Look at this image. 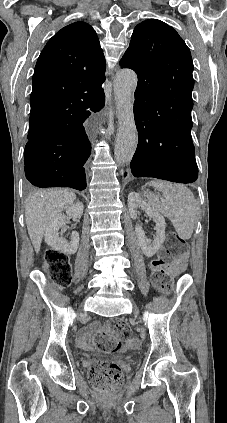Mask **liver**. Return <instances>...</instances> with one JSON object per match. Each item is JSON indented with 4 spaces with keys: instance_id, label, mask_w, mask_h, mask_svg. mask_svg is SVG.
Listing matches in <instances>:
<instances>
[{
    "instance_id": "1",
    "label": "liver",
    "mask_w": 227,
    "mask_h": 423,
    "mask_svg": "<svg viewBox=\"0 0 227 423\" xmlns=\"http://www.w3.org/2000/svg\"><path fill=\"white\" fill-rule=\"evenodd\" d=\"M74 200H76L75 194L71 190H63V188L41 190V192L32 194L26 200V225L36 253L40 251L43 235L49 221L56 217L59 211L73 206Z\"/></svg>"
}]
</instances>
